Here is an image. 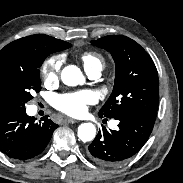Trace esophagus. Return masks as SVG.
<instances>
[{"label":"esophagus","mask_w":183,"mask_h":183,"mask_svg":"<svg viewBox=\"0 0 183 183\" xmlns=\"http://www.w3.org/2000/svg\"><path fill=\"white\" fill-rule=\"evenodd\" d=\"M64 122H65V123L73 124V123H76L77 120H75V119H73V118L66 117V118L64 119Z\"/></svg>","instance_id":"34e87169"}]
</instances>
